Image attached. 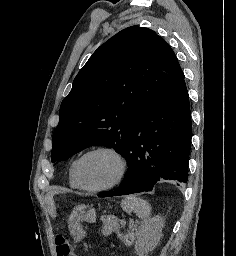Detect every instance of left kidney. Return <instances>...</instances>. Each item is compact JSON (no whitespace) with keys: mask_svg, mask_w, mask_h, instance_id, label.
Masks as SVG:
<instances>
[{"mask_svg":"<svg viewBox=\"0 0 236 256\" xmlns=\"http://www.w3.org/2000/svg\"><path fill=\"white\" fill-rule=\"evenodd\" d=\"M164 220L161 216L149 218L145 224L140 226L136 234L135 250L137 256H147L149 252L155 250L162 234Z\"/></svg>","mask_w":236,"mask_h":256,"instance_id":"5707ae66","label":"left kidney"}]
</instances>
